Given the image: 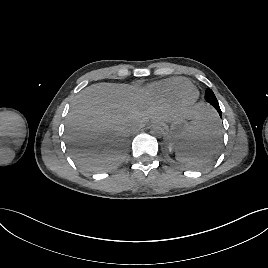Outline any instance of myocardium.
Returning <instances> with one entry per match:
<instances>
[{
	"label": "myocardium",
	"mask_w": 268,
	"mask_h": 268,
	"mask_svg": "<svg viewBox=\"0 0 268 268\" xmlns=\"http://www.w3.org/2000/svg\"><path fill=\"white\" fill-rule=\"evenodd\" d=\"M198 96L197 90L193 87H189L182 92L179 96V100L183 106H191L197 101Z\"/></svg>",
	"instance_id": "myocardium-1"
}]
</instances>
